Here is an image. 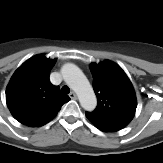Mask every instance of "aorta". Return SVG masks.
<instances>
[{"mask_svg": "<svg viewBox=\"0 0 163 163\" xmlns=\"http://www.w3.org/2000/svg\"><path fill=\"white\" fill-rule=\"evenodd\" d=\"M61 74L65 82L76 92L81 106L87 111L94 110L97 99L90 82L81 70L74 64H65Z\"/></svg>", "mask_w": 163, "mask_h": 163, "instance_id": "762f6f07", "label": "aorta"}]
</instances>
